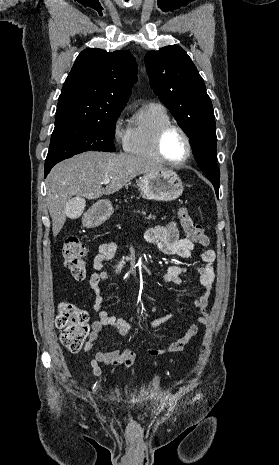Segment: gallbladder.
<instances>
[{
	"mask_svg": "<svg viewBox=\"0 0 279 465\" xmlns=\"http://www.w3.org/2000/svg\"><path fill=\"white\" fill-rule=\"evenodd\" d=\"M67 217L69 219H77L81 216L84 208V201L81 197H74L70 199L67 203Z\"/></svg>",
	"mask_w": 279,
	"mask_h": 465,
	"instance_id": "gallbladder-1",
	"label": "gallbladder"
}]
</instances>
